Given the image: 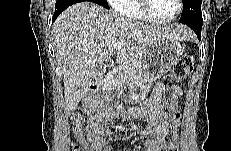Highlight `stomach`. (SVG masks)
I'll return each instance as SVG.
<instances>
[{
  "label": "stomach",
  "instance_id": "stomach-1",
  "mask_svg": "<svg viewBox=\"0 0 231 151\" xmlns=\"http://www.w3.org/2000/svg\"><path fill=\"white\" fill-rule=\"evenodd\" d=\"M183 50L178 40H165L150 48L141 58L142 77L130 88L129 97L135 102L144 100L153 82L177 63Z\"/></svg>",
  "mask_w": 231,
  "mask_h": 151
}]
</instances>
